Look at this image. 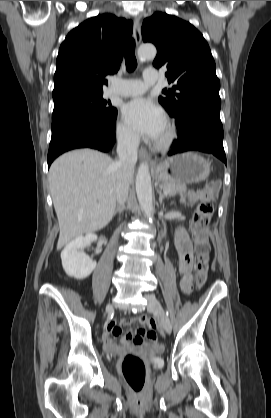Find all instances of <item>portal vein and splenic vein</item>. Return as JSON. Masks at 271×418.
<instances>
[{
	"instance_id": "18ae733b",
	"label": "portal vein and splenic vein",
	"mask_w": 271,
	"mask_h": 418,
	"mask_svg": "<svg viewBox=\"0 0 271 418\" xmlns=\"http://www.w3.org/2000/svg\"><path fill=\"white\" fill-rule=\"evenodd\" d=\"M170 191L169 190H164V195H167ZM96 206H99V204H96Z\"/></svg>"
}]
</instances>
